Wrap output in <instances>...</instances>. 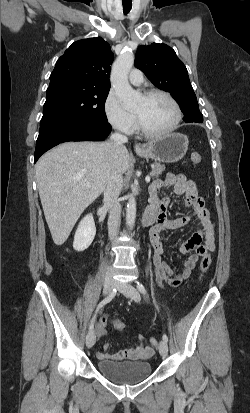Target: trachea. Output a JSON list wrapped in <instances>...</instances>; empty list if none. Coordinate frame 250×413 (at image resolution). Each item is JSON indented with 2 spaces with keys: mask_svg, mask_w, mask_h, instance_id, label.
<instances>
[{
  "mask_svg": "<svg viewBox=\"0 0 250 413\" xmlns=\"http://www.w3.org/2000/svg\"><path fill=\"white\" fill-rule=\"evenodd\" d=\"M132 8V3H123V12L128 14Z\"/></svg>",
  "mask_w": 250,
  "mask_h": 413,
  "instance_id": "3493384b",
  "label": "trachea"
}]
</instances>
